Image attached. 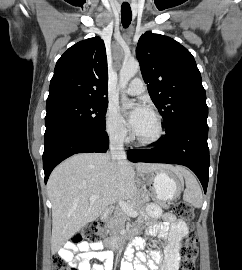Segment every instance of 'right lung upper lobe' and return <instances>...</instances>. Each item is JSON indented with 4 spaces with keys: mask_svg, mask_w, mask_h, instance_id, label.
Listing matches in <instances>:
<instances>
[{
    "mask_svg": "<svg viewBox=\"0 0 242 270\" xmlns=\"http://www.w3.org/2000/svg\"><path fill=\"white\" fill-rule=\"evenodd\" d=\"M108 70L104 41H80L57 61L47 104L68 100H108Z\"/></svg>",
    "mask_w": 242,
    "mask_h": 270,
    "instance_id": "cb5924a9",
    "label": "right lung upper lobe"
}]
</instances>
